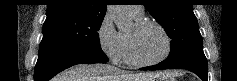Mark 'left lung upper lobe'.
Here are the masks:
<instances>
[{
    "instance_id": "left-lung-upper-lobe-1",
    "label": "left lung upper lobe",
    "mask_w": 237,
    "mask_h": 81,
    "mask_svg": "<svg viewBox=\"0 0 237 81\" xmlns=\"http://www.w3.org/2000/svg\"><path fill=\"white\" fill-rule=\"evenodd\" d=\"M144 6L172 40L170 54L164 63L174 64L205 56L190 0H145Z\"/></svg>"
}]
</instances>
